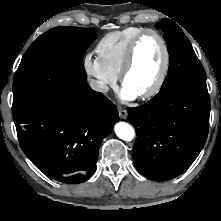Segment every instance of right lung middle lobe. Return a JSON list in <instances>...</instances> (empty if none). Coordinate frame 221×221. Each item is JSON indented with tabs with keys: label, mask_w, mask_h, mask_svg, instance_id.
<instances>
[{
	"label": "right lung middle lobe",
	"mask_w": 221,
	"mask_h": 221,
	"mask_svg": "<svg viewBox=\"0 0 221 221\" xmlns=\"http://www.w3.org/2000/svg\"><path fill=\"white\" fill-rule=\"evenodd\" d=\"M97 38L79 27H56L25 52L13 81V116L80 88L87 81L83 55Z\"/></svg>",
	"instance_id": "obj_1"
}]
</instances>
